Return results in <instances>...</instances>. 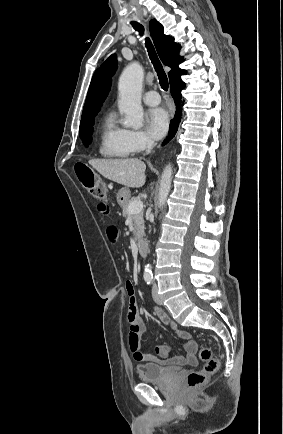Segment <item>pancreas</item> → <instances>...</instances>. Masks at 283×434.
Instances as JSON below:
<instances>
[{
  "label": "pancreas",
  "mask_w": 283,
  "mask_h": 434,
  "mask_svg": "<svg viewBox=\"0 0 283 434\" xmlns=\"http://www.w3.org/2000/svg\"><path fill=\"white\" fill-rule=\"evenodd\" d=\"M139 200V198H131L127 204H125L124 206H122V210H123V216L127 217L130 215V212L128 210V206L131 202L137 201ZM132 221H133V226H134V238L135 240H139L140 238L143 237L144 235V219H143V212H139V213H133L130 215Z\"/></svg>",
  "instance_id": "obj_1"
}]
</instances>
